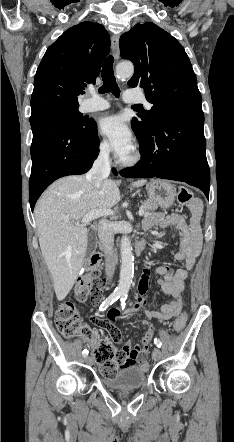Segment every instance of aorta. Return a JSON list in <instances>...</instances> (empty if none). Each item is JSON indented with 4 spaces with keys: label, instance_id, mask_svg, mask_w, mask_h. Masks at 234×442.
<instances>
[{
    "label": "aorta",
    "instance_id": "762f6f07",
    "mask_svg": "<svg viewBox=\"0 0 234 442\" xmlns=\"http://www.w3.org/2000/svg\"><path fill=\"white\" fill-rule=\"evenodd\" d=\"M134 73V66L132 63H120L116 67V75L119 79H127ZM121 267L120 280L116 288L121 295H126L129 292L132 278L134 274V256L130 238L123 235L121 238Z\"/></svg>",
    "mask_w": 234,
    "mask_h": 442
}]
</instances>
